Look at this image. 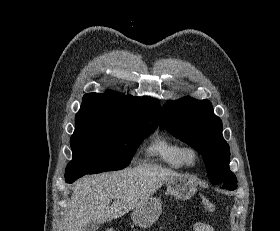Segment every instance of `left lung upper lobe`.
<instances>
[{"label": "left lung upper lobe", "instance_id": "left-lung-upper-lobe-1", "mask_svg": "<svg viewBox=\"0 0 280 231\" xmlns=\"http://www.w3.org/2000/svg\"><path fill=\"white\" fill-rule=\"evenodd\" d=\"M160 129L194 148L204 160L212 184L237 185L229 169V146L222 136V121L208 100L184 97L163 108Z\"/></svg>", "mask_w": 280, "mask_h": 231}]
</instances>
